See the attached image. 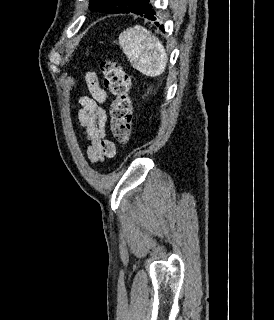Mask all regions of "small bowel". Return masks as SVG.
Listing matches in <instances>:
<instances>
[{"mask_svg": "<svg viewBox=\"0 0 274 320\" xmlns=\"http://www.w3.org/2000/svg\"><path fill=\"white\" fill-rule=\"evenodd\" d=\"M85 82L91 97H81L78 112V127L88 141L87 156L90 162L98 163L115 155L116 147L107 135V113L102 106L106 93L99 84L95 72L85 74Z\"/></svg>", "mask_w": 274, "mask_h": 320, "instance_id": "obj_1", "label": "small bowel"}]
</instances>
